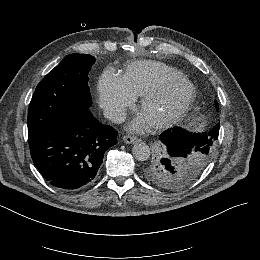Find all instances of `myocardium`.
<instances>
[{"instance_id":"f54148a6","label":"myocardium","mask_w":260,"mask_h":260,"mask_svg":"<svg viewBox=\"0 0 260 260\" xmlns=\"http://www.w3.org/2000/svg\"><path fill=\"white\" fill-rule=\"evenodd\" d=\"M179 83L185 84L188 88V94L185 100L178 108H176L163 118L154 120L152 122V127L154 129H166L178 123L192 107L197 95L196 87L189 78L182 75L175 79L162 81L159 85L146 92L142 97L140 101V108L144 110L150 107L153 102L159 100L167 89Z\"/></svg>"}]
</instances>
